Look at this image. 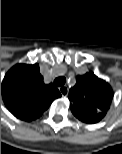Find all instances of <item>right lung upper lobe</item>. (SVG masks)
<instances>
[{
    "mask_svg": "<svg viewBox=\"0 0 122 154\" xmlns=\"http://www.w3.org/2000/svg\"><path fill=\"white\" fill-rule=\"evenodd\" d=\"M1 91L9 111L24 121L39 118L56 98L61 97L53 84H44L38 64L12 67L4 77Z\"/></svg>",
    "mask_w": 122,
    "mask_h": 154,
    "instance_id": "1",
    "label": "right lung upper lobe"
}]
</instances>
